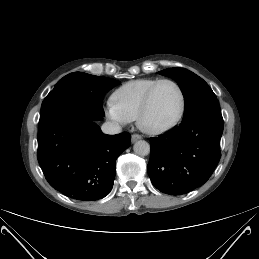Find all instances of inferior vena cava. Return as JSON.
Returning <instances> with one entry per match:
<instances>
[{
  "mask_svg": "<svg viewBox=\"0 0 259 259\" xmlns=\"http://www.w3.org/2000/svg\"><path fill=\"white\" fill-rule=\"evenodd\" d=\"M101 129L103 131V133L105 134H118L122 131L121 126L119 125V123L114 122V121H107L105 122L102 126Z\"/></svg>",
  "mask_w": 259,
  "mask_h": 259,
  "instance_id": "inferior-vena-cava-1",
  "label": "inferior vena cava"
}]
</instances>
